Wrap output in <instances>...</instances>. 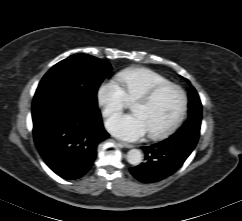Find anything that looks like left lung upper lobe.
Wrapping results in <instances>:
<instances>
[{
    "instance_id": "5c2ea615",
    "label": "left lung upper lobe",
    "mask_w": 242,
    "mask_h": 221,
    "mask_svg": "<svg viewBox=\"0 0 242 221\" xmlns=\"http://www.w3.org/2000/svg\"><path fill=\"white\" fill-rule=\"evenodd\" d=\"M202 120V104L194 87L189 89V116L187 121L176 133H200Z\"/></svg>"
}]
</instances>
